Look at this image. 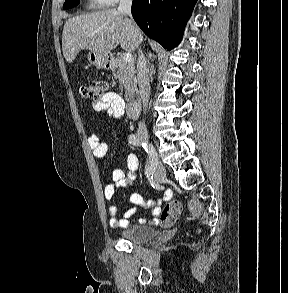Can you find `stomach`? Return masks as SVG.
<instances>
[{
    "mask_svg": "<svg viewBox=\"0 0 288 293\" xmlns=\"http://www.w3.org/2000/svg\"><path fill=\"white\" fill-rule=\"evenodd\" d=\"M88 60L90 64L99 68H112V57L110 54H103L95 51H90L88 54Z\"/></svg>",
    "mask_w": 288,
    "mask_h": 293,
    "instance_id": "obj_1",
    "label": "stomach"
}]
</instances>
